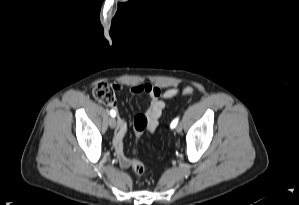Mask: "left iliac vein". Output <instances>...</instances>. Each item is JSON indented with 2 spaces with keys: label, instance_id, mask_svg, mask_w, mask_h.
Masks as SVG:
<instances>
[{
  "label": "left iliac vein",
  "instance_id": "4c4485c4",
  "mask_svg": "<svg viewBox=\"0 0 299 205\" xmlns=\"http://www.w3.org/2000/svg\"><path fill=\"white\" fill-rule=\"evenodd\" d=\"M182 131V126L181 125H178L176 127V132L180 133Z\"/></svg>",
  "mask_w": 299,
  "mask_h": 205
}]
</instances>
